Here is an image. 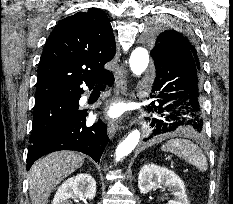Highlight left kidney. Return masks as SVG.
I'll list each match as a JSON object with an SVG mask.
<instances>
[{
  "mask_svg": "<svg viewBox=\"0 0 233 204\" xmlns=\"http://www.w3.org/2000/svg\"><path fill=\"white\" fill-rule=\"evenodd\" d=\"M168 187L174 198L168 204H189L184 182L173 171L154 164L144 165L138 177V187L142 194L154 188Z\"/></svg>",
  "mask_w": 233,
  "mask_h": 204,
  "instance_id": "1",
  "label": "left kidney"
}]
</instances>
